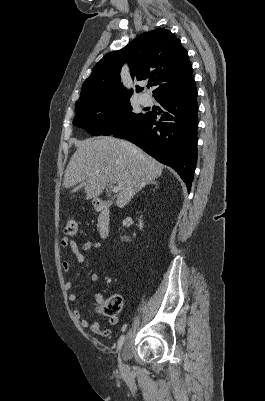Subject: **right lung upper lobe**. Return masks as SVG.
<instances>
[{"instance_id":"right-lung-upper-lobe-1","label":"right lung upper lobe","mask_w":265,"mask_h":401,"mask_svg":"<svg viewBox=\"0 0 265 401\" xmlns=\"http://www.w3.org/2000/svg\"><path fill=\"white\" fill-rule=\"evenodd\" d=\"M127 62L133 78H149L156 89L153 96L181 91L194 82L187 51L169 30L157 28L141 34L124 48L106 54L82 86L76 105L94 98L114 95L130 97L120 82V69ZM143 88L136 86V92Z\"/></svg>"}]
</instances>
